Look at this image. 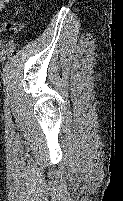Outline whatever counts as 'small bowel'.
Listing matches in <instances>:
<instances>
[{"label": "small bowel", "mask_w": 123, "mask_h": 201, "mask_svg": "<svg viewBox=\"0 0 123 201\" xmlns=\"http://www.w3.org/2000/svg\"><path fill=\"white\" fill-rule=\"evenodd\" d=\"M10 0H0V10L8 3ZM23 25L19 22H1L0 23V32L9 30L12 31L13 34L17 35L21 32Z\"/></svg>", "instance_id": "1"}]
</instances>
